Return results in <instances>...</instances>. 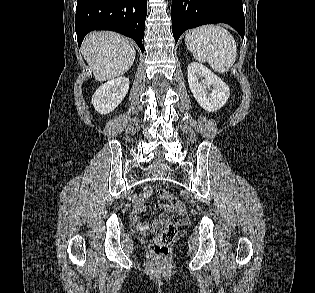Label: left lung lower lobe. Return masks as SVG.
<instances>
[{
  "instance_id": "1",
  "label": "left lung lower lobe",
  "mask_w": 315,
  "mask_h": 293,
  "mask_svg": "<svg viewBox=\"0 0 315 293\" xmlns=\"http://www.w3.org/2000/svg\"><path fill=\"white\" fill-rule=\"evenodd\" d=\"M172 32L175 42L190 28L226 23L244 37L245 18L242 0H172Z\"/></svg>"
}]
</instances>
